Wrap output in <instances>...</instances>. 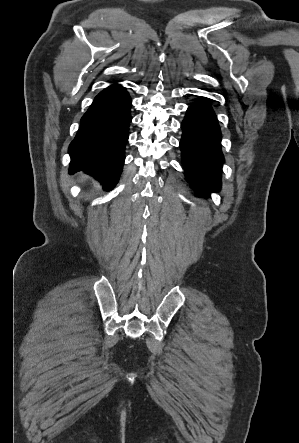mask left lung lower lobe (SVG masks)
I'll list each match as a JSON object with an SVG mask.
<instances>
[{
  "label": "left lung lower lobe",
  "instance_id": "1",
  "mask_svg": "<svg viewBox=\"0 0 299 443\" xmlns=\"http://www.w3.org/2000/svg\"><path fill=\"white\" fill-rule=\"evenodd\" d=\"M180 148L186 177L196 195L210 196L221 187V132L206 99L191 105L181 125Z\"/></svg>",
  "mask_w": 299,
  "mask_h": 443
}]
</instances>
